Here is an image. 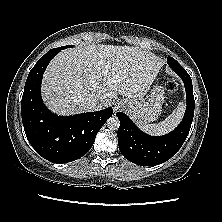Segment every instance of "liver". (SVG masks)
I'll return each instance as SVG.
<instances>
[{
  "label": "liver",
  "instance_id": "1",
  "mask_svg": "<svg viewBox=\"0 0 222 222\" xmlns=\"http://www.w3.org/2000/svg\"><path fill=\"white\" fill-rule=\"evenodd\" d=\"M163 64L151 52L133 46L88 44L65 49L44 73L43 100L54 113L67 116L89 111L84 104L87 97H96L99 109L111 105L117 94L143 98Z\"/></svg>",
  "mask_w": 222,
  "mask_h": 222
}]
</instances>
